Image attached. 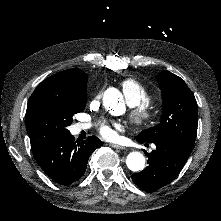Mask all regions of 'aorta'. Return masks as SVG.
Here are the masks:
<instances>
[{
    "label": "aorta",
    "instance_id": "obj_1",
    "mask_svg": "<svg viewBox=\"0 0 221 221\" xmlns=\"http://www.w3.org/2000/svg\"><path fill=\"white\" fill-rule=\"evenodd\" d=\"M126 165L133 172L141 171L145 166V157L140 152H131L126 158Z\"/></svg>",
    "mask_w": 221,
    "mask_h": 221
}]
</instances>
